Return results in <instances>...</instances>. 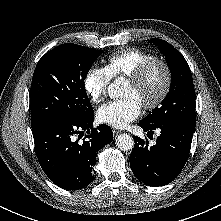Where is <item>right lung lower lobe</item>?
I'll return each mask as SVG.
<instances>
[{
	"instance_id": "1",
	"label": "right lung lower lobe",
	"mask_w": 221,
	"mask_h": 221,
	"mask_svg": "<svg viewBox=\"0 0 221 221\" xmlns=\"http://www.w3.org/2000/svg\"><path fill=\"white\" fill-rule=\"evenodd\" d=\"M93 113L78 119L52 118L32 128L41 168L61 188L79 190L89 185L96 177L97 151L113 140L108 125L93 127ZM84 132L83 141L76 140Z\"/></svg>"
}]
</instances>
